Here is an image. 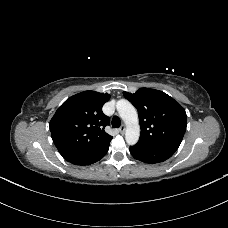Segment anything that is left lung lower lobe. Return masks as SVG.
Returning a JSON list of instances; mask_svg holds the SVG:
<instances>
[{"label":"left lung lower lobe","mask_w":228,"mask_h":228,"mask_svg":"<svg viewBox=\"0 0 228 228\" xmlns=\"http://www.w3.org/2000/svg\"><path fill=\"white\" fill-rule=\"evenodd\" d=\"M130 153L137 160L149 164H155L163 162L170 158L174 154V151L164 148L147 147L136 144L134 146H130Z\"/></svg>","instance_id":"left-lung-lower-lobe-1"}]
</instances>
